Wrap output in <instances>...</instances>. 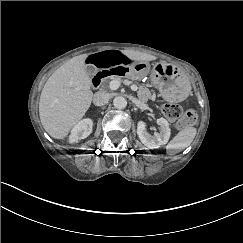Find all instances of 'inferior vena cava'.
Instances as JSON below:
<instances>
[{"label": "inferior vena cava", "mask_w": 243, "mask_h": 243, "mask_svg": "<svg viewBox=\"0 0 243 243\" xmlns=\"http://www.w3.org/2000/svg\"><path fill=\"white\" fill-rule=\"evenodd\" d=\"M108 100L109 97L104 92H97L93 97V103L95 106H103L108 102Z\"/></svg>", "instance_id": "inferior-vena-cava-1"}]
</instances>
